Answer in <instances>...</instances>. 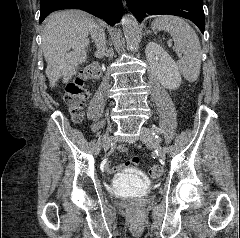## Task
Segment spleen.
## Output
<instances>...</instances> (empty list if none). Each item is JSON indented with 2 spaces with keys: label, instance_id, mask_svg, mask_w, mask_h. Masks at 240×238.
Returning a JSON list of instances; mask_svg holds the SVG:
<instances>
[{
  "label": "spleen",
  "instance_id": "obj_1",
  "mask_svg": "<svg viewBox=\"0 0 240 238\" xmlns=\"http://www.w3.org/2000/svg\"><path fill=\"white\" fill-rule=\"evenodd\" d=\"M152 29L170 33L176 50L183 55L177 63L179 70L189 82L196 81L201 68V46L192 27L180 17L165 15L154 19Z\"/></svg>",
  "mask_w": 240,
  "mask_h": 238
}]
</instances>
